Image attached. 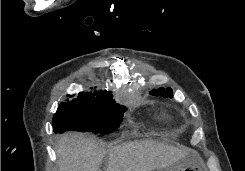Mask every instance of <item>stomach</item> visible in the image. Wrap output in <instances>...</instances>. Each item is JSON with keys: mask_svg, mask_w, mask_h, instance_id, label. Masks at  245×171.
Here are the masks:
<instances>
[{"mask_svg": "<svg viewBox=\"0 0 245 171\" xmlns=\"http://www.w3.org/2000/svg\"><path fill=\"white\" fill-rule=\"evenodd\" d=\"M159 171H202L197 163L190 158H185L177 164L161 169Z\"/></svg>", "mask_w": 245, "mask_h": 171, "instance_id": "0dacf381", "label": "stomach"}]
</instances>
